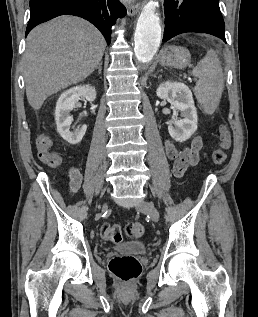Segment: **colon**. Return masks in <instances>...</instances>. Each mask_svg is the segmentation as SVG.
I'll return each instance as SVG.
<instances>
[{"instance_id":"obj_1","label":"colon","mask_w":258,"mask_h":317,"mask_svg":"<svg viewBox=\"0 0 258 317\" xmlns=\"http://www.w3.org/2000/svg\"><path fill=\"white\" fill-rule=\"evenodd\" d=\"M231 145V133L226 125L219 129V144L212 153L215 164H222L227 158V149ZM39 159L48 166H57L61 157L54 151H40ZM145 229L139 222H130L122 227L119 224L105 223L101 227V236L112 243H120L124 234L132 239H138L144 235ZM110 273L121 283H130L136 280L141 273V264L135 257L114 256L109 261Z\"/></svg>"}]
</instances>
